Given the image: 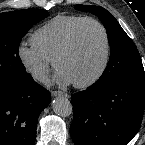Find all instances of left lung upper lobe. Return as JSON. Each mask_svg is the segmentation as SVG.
<instances>
[{
    "mask_svg": "<svg viewBox=\"0 0 145 145\" xmlns=\"http://www.w3.org/2000/svg\"><path fill=\"white\" fill-rule=\"evenodd\" d=\"M75 9L97 15L107 30L111 46L110 58L102 76L94 85L105 86L117 80L145 76L142 60L134 42L106 9L92 5H76Z\"/></svg>",
    "mask_w": 145,
    "mask_h": 145,
    "instance_id": "5c2ea615",
    "label": "left lung upper lobe"
}]
</instances>
